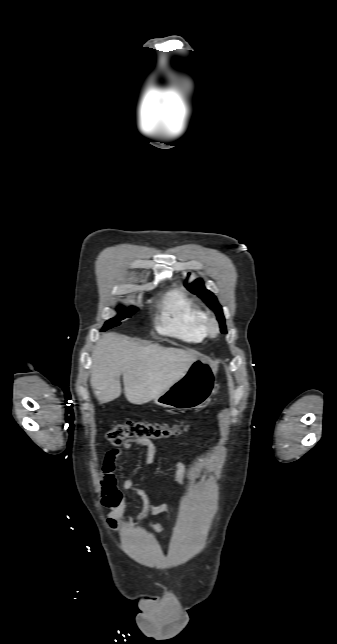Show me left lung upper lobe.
Returning <instances> with one entry per match:
<instances>
[{
  "label": "left lung upper lobe",
  "mask_w": 337,
  "mask_h": 644,
  "mask_svg": "<svg viewBox=\"0 0 337 644\" xmlns=\"http://www.w3.org/2000/svg\"><path fill=\"white\" fill-rule=\"evenodd\" d=\"M189 289L194 294H197L198 296H200L206 303H209L217 307L219 311V321L221 324V331L224 332L225 324H224V317L222 315V307L219 305L217 298L214 296V294L204 287L203 280L202 279L195 280L189 286Z\"/></svg>",
  "instance_id": "1"
}]
</instances>
